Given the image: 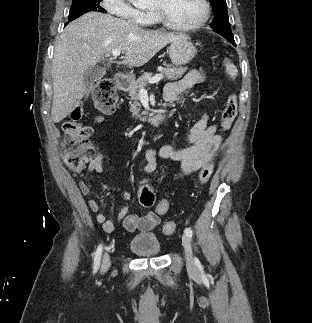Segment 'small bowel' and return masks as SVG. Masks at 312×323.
Returning <instances> with one entry per match:
<instances>
[{"label": "small bowel", "mask_w": 312, "mask_h": 323, "mask_svg": "<svg viewBox=\"0 0 312 323\" xmlns=\"http://www.w3.org/2000/svg\"><path fill=\"white\" fill-rule=\"evenodd\" d=\"M205 80L201 71L194 69L188 72L180 80L167 85L165 99L167 102H175L183 93L191 87L203 83ZM189 145L183 148H176L172 145H164L159 150L148 149L145 152L146 163L144 170L152 173L157 169V157L167 161L179 162L185 174H193L199 171L204 165L212 163L221 144V137L217 134V125L207 123V115H203L191 128L188 135ZM104 168V158L97 155L88 164V170L101 173ZM79 189L84 196L89 195L90 188L87 183L81 181ZM122 198H128L125 192H118ZM91 211L97 213L96 220L103 226L106 232H112L116 228V223L109 220L106 215L100 212V202L95 199L88 200ZM160 217L153 211L143 215L129 214V208L123 207L117 215V223H122L123 227L129 231H149L156 228L160 223Z\"/></svg>", "instance_id": "obj_1"}]
</instances>
